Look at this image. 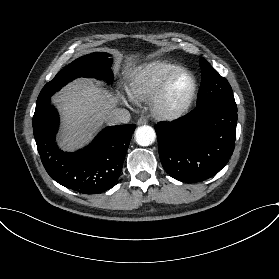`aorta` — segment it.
Wrapping results in <instances>:
<instances>
[{
    "label": "aorta",
    "instance_id": "aorta-1",
    "mask_svg": "<svg viewBox=\"0 0 279 279\" xmlns=\"http://www.w3.org/2000/svg\"><path fill=\"white\" fill-rule=\"evenodd\" d=\"M156 138V133L151 126H140L135 132V140L140 146H149L151 145Z\"/></svg>",
    "mask_w": 279,
    "mask_h": 279
}]
</instances>
